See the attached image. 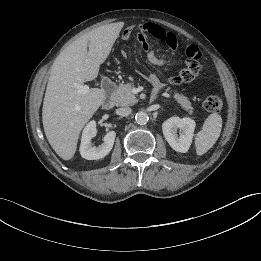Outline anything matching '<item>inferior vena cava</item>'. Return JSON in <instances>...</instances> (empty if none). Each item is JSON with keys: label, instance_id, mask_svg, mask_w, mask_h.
Here are the masks:
<instances>
[{"label": "inferior vena cava", "instance_id": "obj_1", "mask_svg": "<svg viewBox=\"0 0 261 261\" xmlns=\"http://www.w3.org/2000/svg\"><path fill=\"white\" fill-rule=\"evenodd\" d=\"M132 112V109L130 107H122V108H118L116 110V113L118 115H121V116H128L129 114H131Z\"/></svg>", "mask_w": 261, "mask_h": 261}]
</instances>
